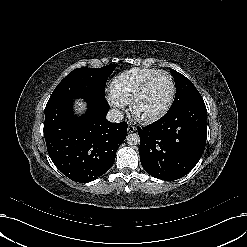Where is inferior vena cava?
Returning a JSON list of instances; mask_svg holds the SVG:
<instances>
[{"mask_svg":"<svg viewBox=\"0 0 247 247\" xmlns=\"http://www.w3.org/2000/svg\"><path fill=\"white\" fill-rule=\"evenodd\" d=\"M123 112L118 109H111L107 114V120L112 123H119L123 120Z\"/></svg>","mask_w":247,"mask_h":247,"instance_id":"602c4592","label":"inferior vena cava"}]
</instances>
